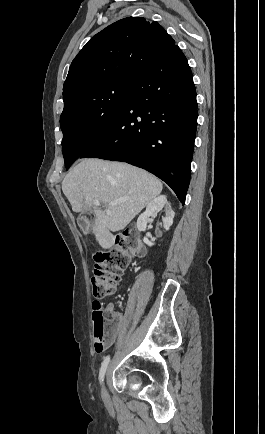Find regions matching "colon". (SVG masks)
Returning a JSON list of instances; mask_svg holds the SVG:
<instances>
[{
    "label": "colon",
    "instance_id": "obj_1",
    "mask_svg": "<svg viewBox=\"0 0 265 434\" xmlns=\"http://www.w3.org/2000/svg\"><path fill=\"white\" fill-rule=\"evenodd\" d=\"M126 246L121 245V248ZM128 257L121 251L102 252L94 258L95 274L91 278L92 295L95 299L93 304V344L94 347H107V335L105 331L107 326L106 314H102V304L100 300L112 295L121 280V277L127 267Z\"/></svg>",
    "mask_w": 265,
    "mask_h": 434
}]
</instances>
